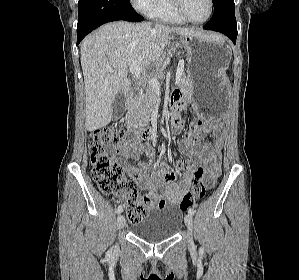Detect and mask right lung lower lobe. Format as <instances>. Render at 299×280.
<instances>
[{"label":"right lung lower lobe","instance_id":"obj_1","mask_svg":"<svg viewBox=\"0 0 299 280\" xmlns=\"http://www.w3.org/2000/svg\"><path fill=\"white\" fill-rule=\"evenodd\" d=\"M143 19L129 0H79L77 45L88 33L104 23L117 20L138 22Z\"/></svg>","mask_w":299,"mask_h":280}]
</instances>
